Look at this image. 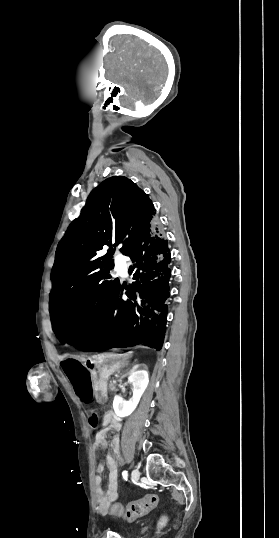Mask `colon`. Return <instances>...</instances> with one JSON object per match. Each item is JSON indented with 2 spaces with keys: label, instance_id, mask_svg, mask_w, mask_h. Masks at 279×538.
<instances>
[{
  "label": "colon",
  "instance_id": "5ec220e1",
  "mask_svg": "<svg viewBox=\"0 0 279 538\" xmlns=\"http://www.w3.org/2000/svg\"><path fill=\"white\" fill-rule=\"evenodd\" d=\"M158 498L155 494H148L142 499L133 501L126 506L118 503L113 504L110 508L100 509L102 512H109L116 516L132 520L141 517L151 511L157 504Z\"/></svg>",
  "mask_w": 279,
  "mask_h": 538
}]
</instances>
